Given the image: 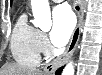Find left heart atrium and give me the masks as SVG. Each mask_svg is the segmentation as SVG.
<instances>
[{
	"mask_svg": "<svg viewBox=\"0 0 102 75\" xmlns=\"http://www.w3.org/2000/svg\"><path fill=\"white\" fill-rule=\"evenodd\" d=\"M76 20L67 4L57 6L53 11V25L50 40L55 47H63L70 40Z\"/></svg>",
	"mask_w": 102,
	"mask_h": 75,
	"instance_id": "39dd6f15",
	"label": "left heart atrium"
}]
</instances>
